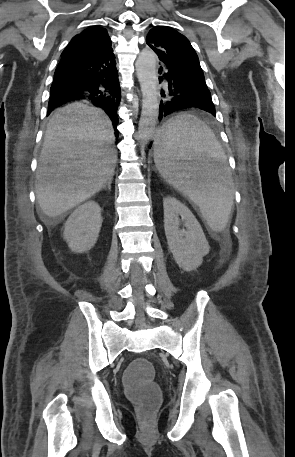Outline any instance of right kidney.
Here are the masks:
<instances>
[{"instance_id": "ca27d5eb", "label": "right kidney", "mask_w": 295, "mask_h": 457, "mask_svg": "<svg viewBox=\"0 0 295 457\" xmlns=\"http://www.w3.org/2000/svg\"><path fill=\"white\" fill-rule=\"evenodd\" d=\"M101 208L95 201L79 206L65 223L63 237L76 253L90 250L96 243L101 228Z\"/></svg>"}]
</instances>
